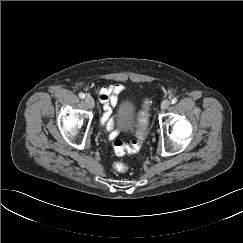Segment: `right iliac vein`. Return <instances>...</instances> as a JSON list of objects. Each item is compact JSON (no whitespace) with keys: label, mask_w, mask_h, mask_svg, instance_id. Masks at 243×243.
<instances>
[{"label":"right iliac vein","mask_w":243,"mask_h":243,"mask_svg":"<svg viewBox=\"0 0 243 243\" xmlns=\"http://www.w3.org/2000/svg\"><path fill=\"white\" fill-rule=\"evenodd\" d=\"M85 101L87 103V105L90 107V108H94L95 106V102H94V99L90 96V95H87L85 97Z\"/></svg>","instance_id":"1"}]
</instances>
